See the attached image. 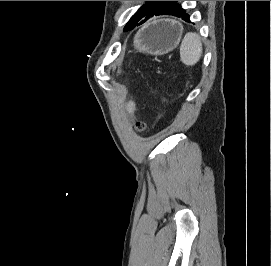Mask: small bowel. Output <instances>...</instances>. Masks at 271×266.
I'll use <instances>...</instances> for the list:
<instances>
[{"label": "small bowel", "mask_w": 271, "mask_h": 266, "mask_svg": "<svg viewBox=\"0 0 271 266\" xmlns=\"http://www.w3.org/2000/svg\"><path fill=\"white\" fill-rule=\"evenodd\" d=\"M128 109H129L130 111H132V109H133L132 104H129V105H128Z\"/></svg>", "instance_id": "1"}]
</instances>
